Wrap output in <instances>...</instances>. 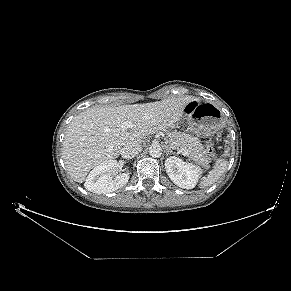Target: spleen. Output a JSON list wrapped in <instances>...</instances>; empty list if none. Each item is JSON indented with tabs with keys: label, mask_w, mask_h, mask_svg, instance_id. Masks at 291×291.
<instances>
[{
	"label": "spleen",
	"mask_w": 291,
	"mask_h": 291,
	"mask_svg": "<svg viewBox=\"0 0 291 291\" xmlns=\"http://www.w3.org/2000/svg\"><path fill=\"white\" fill-rule=\"evenodd\" d=\"M228 161L225 159H217L213 169L209 172L206 177L202 178L200 183L201 188H206L214 184L227 170Z\"/></svg>",
	"instance_id": "obj_1"
}]
</instances>
